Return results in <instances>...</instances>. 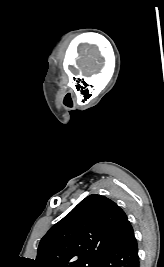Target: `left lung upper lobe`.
<instances>
[{
    "instance_id": "left-lung-upper-lobe-1",
    "label": "left lung upper lobe",
    "mask_w": 164,
    "mask_h": 267,
    "mask_svg": "<svg viewBox=\"0 0 164 267\" xmlns=\"http://www.w3.org/2000/svg\"><path fill=\"white\" fill-rule=\"evenodd\" d=\"M128 222L124 211L105 196L92 194L41 239L34 267H98Z\"/></svg>"
}]
</instances>
